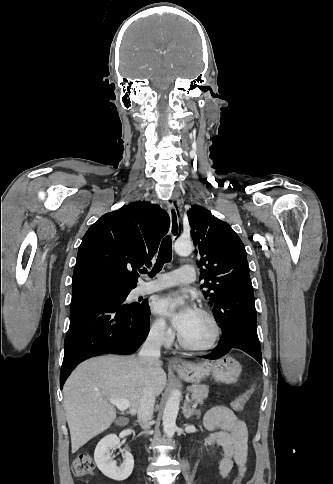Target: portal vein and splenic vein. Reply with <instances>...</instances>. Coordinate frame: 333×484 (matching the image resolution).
<instances>
[{
  "mask_svg": "<svg viewBox=\"0 0 333 484\" xmlns=\"http://www.w3.org/2000/svg\"><path fill=\"white\" fill-rule=\"evenodd\" d=\"M109 402L113 405H116V407L120 410V411H125L129 408L130 406V402L128 399H112L110 398L109 399ZM197 407V403L193 404V408H196Z\"/></svg>",
  "mask_w": 333,
  "mask_h": 484,
  "instance_id": "1",
  "label": "portal vein and splenic vein"
}]
</instances>
